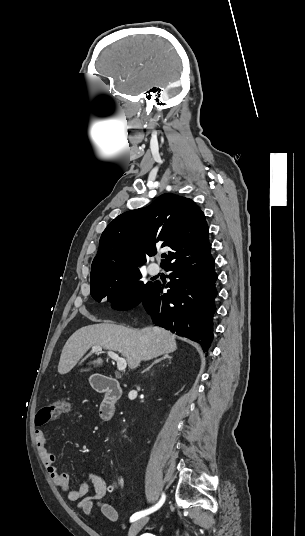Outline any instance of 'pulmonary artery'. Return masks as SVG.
Masks as SVG:
<instances>
[{
  "label": "pulmonary artery",
  "mask_w": 305,
  "mask_h": 536,
  "mask_svg": "<svg viewBox=\"0 0 305 536\" xmlns=\"http://www.w3.org/2000/svg\"><path fill=\"white\" fill-rule=\"evenodd\" d=\"M161 271V268L159 267V265L157 264H153L150 266V273L153 274V275H157L159 274Z\"/></svg>",
  "instance_id": "e3ab8cb5"
}]
</instances>
